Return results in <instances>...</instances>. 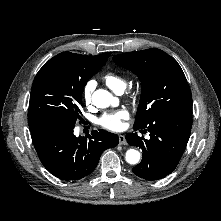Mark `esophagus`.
Instances as JSON below:
<instances>
[{"instance_id":"34e87169","label":"esophagus","mask_w":221,"mask_h":221,"mask_svg":"<svg viewBox=\"0 0 221 221\" xmlns=\"http://www.w3.org/2000/svg\"><path fill=\"white\" fill-rule=\"evenodd\" d=\"M119 144L120 145H126L127 141L124 135H119Z\"/></svg>"}]
</instances>
